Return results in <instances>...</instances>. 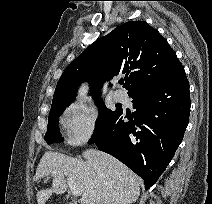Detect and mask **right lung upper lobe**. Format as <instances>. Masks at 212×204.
<instances>
[{
    "instance_id": "obj_1",
    "label": "right lung upper lobe",
    "mask_w": 212,
    "mask_h": 204,
    "mask_svg": "<svg viewBox=\"0 0 212 204\" xmlns=\"http://www.w3.org/2000/svg\"><path fill=\"white\" fill-rule=\"evenodd\" d=\"M176 53L158 30L145 21H129L98 38L65 69L51 108L70 104L82 81L99 97L102 84L118 74L129 75L128 93L171 79L183 70Z\"/></svg>"
}]
</instances>
